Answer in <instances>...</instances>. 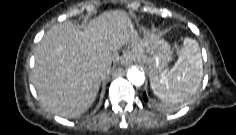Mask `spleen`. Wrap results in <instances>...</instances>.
Returning a JSON list of instances; mask_svg holds the SVG:
<instances>
[{"mask_svg":"<svg viewBox=\"0 0 236 135\" xmlns=\"http://www.w3.org/2000/svg\"><path fill=\"white\" fill-rule=\"evenodd\" d=\"M203 74L199 44L191 38L184 39L177 62L168 72H159L150 78L155 95L169 103L188 100L197 91Z\"/></svg>","mask_w":236,"mask_h":135,"instance_id":"1","label":"spleen"}]
</instances>
